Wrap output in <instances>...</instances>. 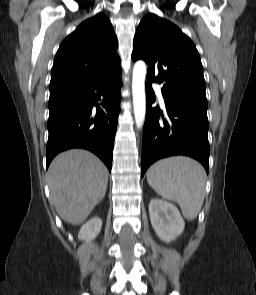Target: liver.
<instances>
[{
	"instance_id": "obj_1",
	"label": "liver",
	"mask_w": 256,
	"mask_h": 295,
	"mask_svg": "<svg viewBox=\"0 0 256 295\" xmlns=\"http://www.w3.org/2000/svg\"><path fill=\"white\" fill-rule=\"evenodd\" d=\"M108 170L85 150H69L56 156L48 170L50 202L59 216L72 225L83 223L102 201Z\"/></svg>"
}]
</instances>
